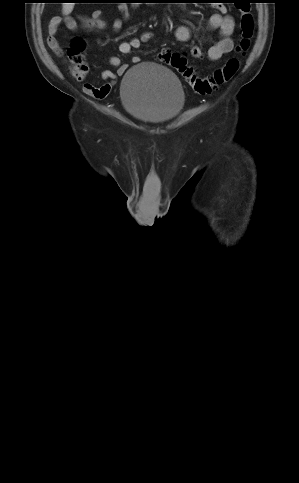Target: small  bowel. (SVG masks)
Instances as JSON below:
<instances>
[{"mask_svg": "<svg viewBox=\"0 0 299 483\" xmlns=\"http://www.w3.org/2000/svg\"><path fill=\"white\" fill-rule=\"evenodd\" d=\"M120 11L124 18L130 16V10L127 6H120ZM227 8L224 5H219L217 7V12L213 13L209 17V27L211 29H217L219 32V39L208 49L207 56L211 61H218L222 56L232 52L233 50V40L231 38L235 23L231 16L226 15ZM65 24V26L72 31L79 29H93L97 31H103L107 27V23L104 19L103 12L101 10H95L90 16H78V17H54L50 20L48 26V37L47 44L49 48L58 56L62 55V49L60 47L57 33L59 27ZM123 27V22L120 19H115L111 24V29L114 32H119ZM191 29L185 25L178 26L174 35L179 42H187L191 38ZM154 38V33L152 31H145L139 37H134L127 41H122L119 43L118 49L121 54H129L133 49L138 48L142 43L151 41ZM190 54L193 58L201 59L203 57V52L198 46H193L190 49ZM140 62V58L134 56L131 58L132 64H137ZM109 63L113 67H117V74H114L110 70H105L102 72V78L104 80H110L109 82L101 85L95 86L91 83H86L84 85L85 92L97 99H104L110 93L113 83L117 76H122L128 69L127 64H123L119 57H111Z\"/></svg>", "mask_w": 299, "mask_h": 483, "instance_id": "1", "label": "small bowel"}]
</instances>
